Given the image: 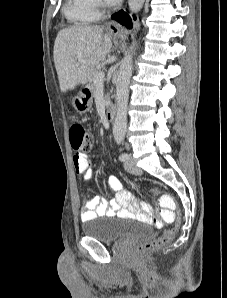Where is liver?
I'll list each match as a JSON object with an SVG mask.
<instances>
[{
    "mask_svg": "<svg viewBox=\"0 0 227 298\" xmlns=\"http://www.w3.org/2000/svg\"><path fill=\"white\" fill-rule=\"evenodd\" d=\"M112 46L99 26H76L58 32L54 63L62 92L86 84L96 66L106 59Z\"/></svg>",
    "mask_w": 227,
    "mask_h": 298,
    "instance_id": "6515ba94",
    "label": "liver"
}]
</instances>
